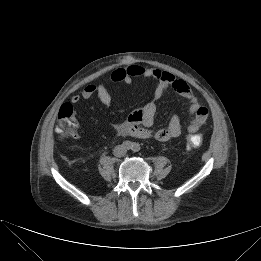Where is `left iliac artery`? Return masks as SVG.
Instances as JSON below:
<instances>
[{
	"label": "left iliac artery",
	"mask_w": 261,
	"mask_h": 261,
	"mask_svg": "<svg viewBox=\"0 0 261 261\" xmlns=\"http://www.w3.org/2000/svg\"><path fill=\"white\" fill-rule=\"evenodd\" d=\"M132 150H133L134 152H138V151L140 150L139 144L134 143V144L132 145Z\"/></svg>",
	"instance_id": "obj_1"
}]
</instances>
